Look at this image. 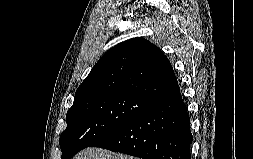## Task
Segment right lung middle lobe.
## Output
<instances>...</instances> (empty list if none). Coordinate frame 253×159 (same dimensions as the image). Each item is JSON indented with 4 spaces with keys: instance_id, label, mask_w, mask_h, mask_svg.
Instances as JSON below:
<instances>
[{
    "instance_id": "1",
    "label": "right lung middle lobe",
    "mask_w": 253,
    "mask_h": 159,
    "mask_svg": "<svg viewBox=\"0 0 253 159\" xmlns=\"http://www.w3.org/2000/svg\"><path fill=\"white\" fill-rule=\"evenodd\" d=\"M154 103L144 98L116 94L74 101L66 115L67 128L60 136L61 159L117 131Z\"/></svg>"
}]
</instances>
